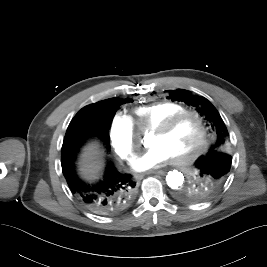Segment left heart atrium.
<instances>
[{"label": "left heart atrium", "mask_w": 267, "mask_h": 267, "mask_svg": "<svg viewBox=\"0 0 267 267\" xmlns=\"http://www.w3.org/2000/svg\"><path fill=\"white\" fill-rule=\"evenodd\" d=\"M170 159L169 153L159 145L151 146L145 153L137 157L133 162L136 171L153 169Z\"/></svg>", "instance_id": "obj_1"}]
</instances>
